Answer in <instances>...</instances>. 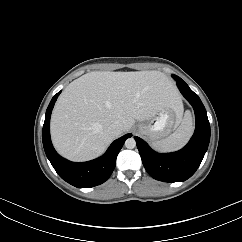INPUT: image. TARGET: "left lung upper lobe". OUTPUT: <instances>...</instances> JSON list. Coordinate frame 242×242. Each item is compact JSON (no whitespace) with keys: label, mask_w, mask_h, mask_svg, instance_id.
Segmentation results:
<instances>
[{"label":"left lung upper lobe","mask_w":242,"mask_h":242,"mask_svg":"<svg viewBox=\"0 0 242 242\" xmlns=\"http://www.w3.org/2000/svg\"><path fill=\"white\" fill-rule=\"evenodd\" d=\"M172 77H173L176 81H178V79H181L180 77H178V76H176V75H172Z\"/></svg>","instance_id":"5c2ea615"}]
</instances>
